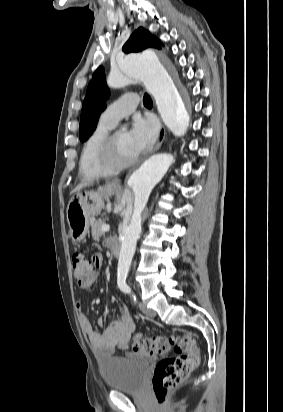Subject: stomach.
<instances>
[{"label": "stomach", "instance_id": "1", "mask_svg": "<svg viewBox=\"0 0 283 412\" xmlns=\"http://www.w3.org/2000/svg\"><path fill=\"white\" fill-rule=\"evenodd\" d=\"M117 190V187L106 185L97 191L77 193L70 200L67 207V221L73 242L78 243L86 237L91 219L104 207V199L114 195Z\"/></svg>", "mask_w": 283, "mask_h": 412}]
</instances>
